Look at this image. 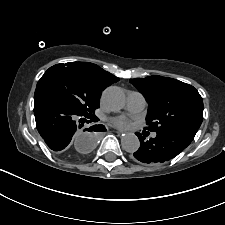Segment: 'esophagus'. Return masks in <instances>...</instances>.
I'll list each match as a JSON object with an SVG mask.
<instances>
[{
	"mask_svg": "<svg viewBox=\"0 0 225 225\" xmlns=\"http://www.w3.org/2000/svg\"><path fill=\"white\" fill-rule=\"evenodd\" d=\"M119 135H121V134H123L124 133V131L123 130H117L116 131Z\"/></svg>",
	"mask_w": 225,
	"mask_h": 225,
	"instance_id": "esophagus-1",
	"label": "esophagus"
}]
</instances>
